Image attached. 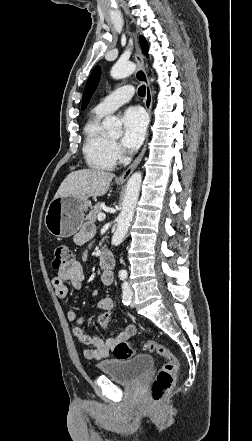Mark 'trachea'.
I'll list each match as a JSON object with an SVG mask.
<instances>
[{"instance_id": "1", "label": "trachea", "mask_w": 252, "mask_h": 441, "mask_svg": "<svg viewBox=\"0 0 252 441\" xmlns=\"http://www.w3.org/2000/svg\"><path fill=\"white\" fill-rule=\"evenodd\" d=\"M145 93H146L145 86H144V85H143V86H140L139 89H138V94H139V96L144 97V96H145Z\"/></svg>"}]
</instances>
